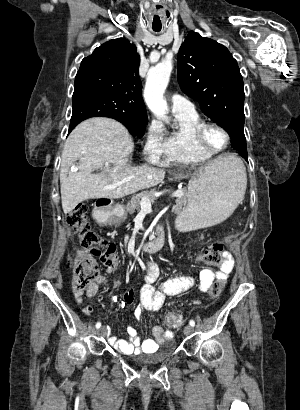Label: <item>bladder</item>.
Wrapping results in <instances>:
<instances>
[{"instance_id": "bladder-1", "label": "bladder", "mask_w": 300, "mask_h": 410, "mask_svg": "<svg viewBox=\"0 0 300 410\" xmlns=\"http://www.w3.org/2000/svg\"><path fill=\"white\" fill-rule=\"evenodd\" d=\"M175 351V344L170 342L165 347H162L149 355H134L131 359L139 365H156L164 362Z\"/></svg>"}]
</instances>
